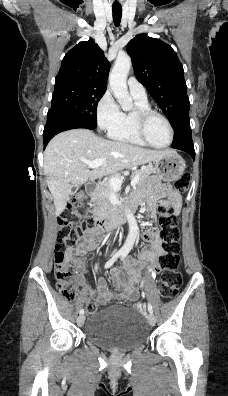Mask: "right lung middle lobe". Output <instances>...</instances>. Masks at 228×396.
<instances>
[{
  "label": "right lung middle lobe",
  "instance_id": "obj_1",
  "mask_svg": "<svg viewBox=\"0 0 228 396\" xmlns=\"http://www.w3.org/2000/svg\"><path fill=\"white\" fill-rule=\"evenodd\" d=\"M105 91L76 85L57 86L48 114L67 115L81 120L95 129L97 126V104Z\"/></svg>",
  "mask_w": 228,
  "mask_h": 396
}]
</instances>
